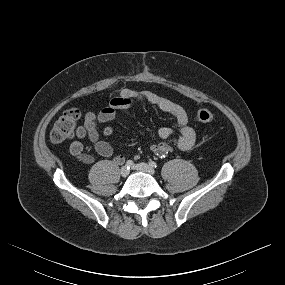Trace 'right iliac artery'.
Wrapping results in <instances>:
<instances>
[{
  "mask_svg": "<svg viewBox=\"0 0 285 285\" xmlns=\"http://www.w3.org/2000/svg\"><path fill=\"white\" fill-rule=\"evenodd\" d=\"M133 165H134V162L132 160H128L126 162V164L124 165V167L127 168V169H130V168L133 167Z\"/></svg>",
  "mask_w": 285,
  "mask_h": 285,
  "instance_id": "obj_1",
  "label": "right iliac artery"
}]
</instances>
